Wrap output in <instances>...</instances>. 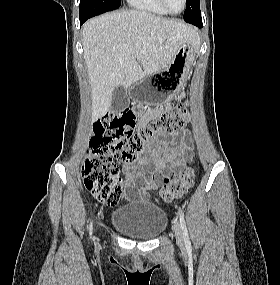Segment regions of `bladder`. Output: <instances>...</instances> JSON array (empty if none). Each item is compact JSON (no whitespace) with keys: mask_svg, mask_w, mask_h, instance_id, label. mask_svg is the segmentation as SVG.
I'll return each instance as SVG.
<instances>
[{"mask_svg":"<svg viewBox=\"0 0 280 285\" xmlns=\"http://www.w3.org/2000/svg\"><path fill=\"white\" fill-rule=\"evenodd\" d=\"M167 214L151 202H130L115 209L111 225L121 234L148 240L160 235L167 226Z\"/></svg>","mask_w":280,"mask_h":285,"instance_id":"31cf9c89","label":"bladder"}]
</instances>
